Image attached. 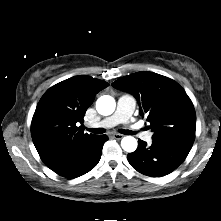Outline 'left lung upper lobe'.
Here are the masks:
<instances>
[{
  "label": "left lung upper lobe",
  "instance_id": "5c2ea615",
  "mask_svg": "<svg viewBox=\"0 0 221 221\" xmlns=\"http://www.w3.org/2000/svg\"><path fill=\"white\" fill-rule=\"evenodd\" d=\"M112 86L135 96L140 114L150 123L153 140L192 147L195 109L177 82L153 72L141 71L116 80Z\"/></svg>",
  "mask_w": 221,
  "mask_h": 221
}]
</instances>
